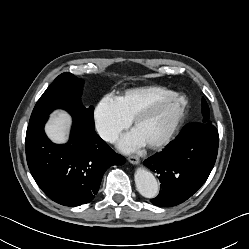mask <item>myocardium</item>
<instances>
[{
	"label": "myocardium",
	"mask_w": 249,
	"mask_h": 249,
	"mask_svg": "<svg viewBox=\"0 0 249 249\" xmlns=\"http://www.w3.org/2000/svg\"><path fill=\"white\" fill-rule=\"evenodd\" d=\"M175 98L181 99L183 102L179 116H178L177 120L175 121L173 127L169 131V133L163 139L149 144V147L152 149L163 148L164 146L169 144L173 140V138L176 136V134L178 133L179 129L181 128V126L184 123L186 116H187L188 107H189L188 98L185 95L180 94V93H175V92L171 93L170 95L162 97V98L148 104L141 111H139L136 114V116L134 117V119L132 120V126L135 129V127L140 122H142L144 119L149 117L159 106H161L162 104L167 103Z\"/></svg>",
	"instance_id": "f54148a6"
}]
</instances>
